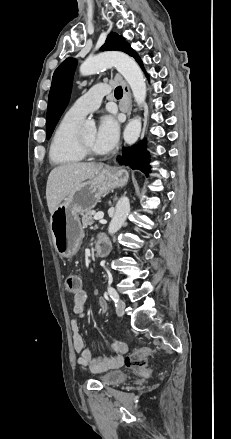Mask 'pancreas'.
<instances>
[{
	"mask_svg": "<svg viewBox=\"0 0 231 439\" xmlns=\"http://www.w3.org/2000/svg\"><path fill=\"white\" fill-rule=\"evenodd\" d=\"M93 215H95V211L93 210H89L86 211L83 215H82V224L84 227L90 226L93 224Z\"/></svg>",
	"mask_w": 231,
	"mask_h": 439,
	"instance_id": "cf45deb5",
	"label": "pancreas"
}]
</instances>
